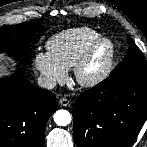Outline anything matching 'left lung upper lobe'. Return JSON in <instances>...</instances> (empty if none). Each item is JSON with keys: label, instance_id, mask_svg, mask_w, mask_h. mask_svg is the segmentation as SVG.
Instances as JSON below:
<instances>
[{"label": "left lung upper lobe", "instance_id": "obj_1", "mask_svg": "<svg viewBox=\"0 0 147 147\" xmlns=\"http://www.w3.org/2000/svg\"><path fill=\"white\" fill-rule=\"evenodd\" d=\"M127 41L129 43L127 55L124 60L113 69L111 75L124 72H135L147 75V62L143 53L130 37L127 38Z\"/></svg>", "mask_w": 147, "mask_h": 147}]
</instances>
